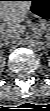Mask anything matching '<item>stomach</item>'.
<instances>
[{"label":"stomach","mask_w":50,"mask_h":111,"mask_svg":"<svg viewBox=\"0 0 50 111\" xmlns=\"http://www.w3.org/2000/svg\"><path fill=\"white\" fill-rule=\"evenodd\" d=\"M30 13L42 23L50 22V0H31Z\"/></svg>","instance_id":"stomach-1"}]
</instances>
